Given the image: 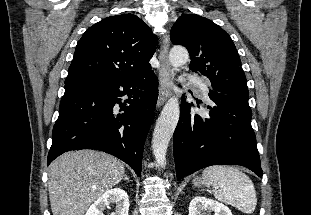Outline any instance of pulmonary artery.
<instances>
[{"instance_id":"obj_1","label":"pulmonary artery","mask_w":311,"mask_h":215,"mask_svg":"<svg viewBox=\"0 0 311 215\" xmlns=\"http://www.w3.org/2000/svg\"><path fill=\"white\" fill-rule=\"evenodd\" d=\"M189 82L195 85L196 92L199 96L205 99L208 98V88L206 82L196 77H189Z\"/></svg>"}]
</instances>
